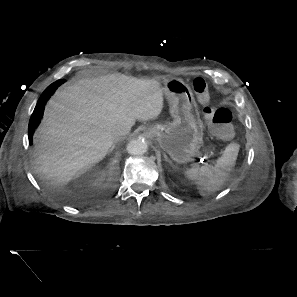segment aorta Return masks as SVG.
<instances>
[{"instance_id": "obj_1", "label": "aorta", "mask_w": 297, "mask_h": 297, "mask_svg": "<svg viewBox=\"0 0 297 297\" xmlns=\"http://www.w3.org/2000/svg\"><path fill=\"white\" fill-rule=\"evenodd\" d=\"M148 149V145L143 139H134L131 140L126 147L127 152L130 155L139 156L144 154Z\"/></svg>"}]
</instances>
